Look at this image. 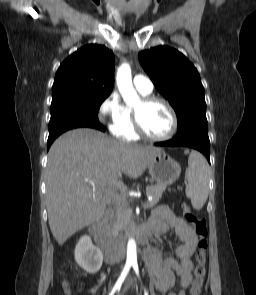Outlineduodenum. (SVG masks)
I'll use <instances>...</instances> for the list:
<instances>
[{"mask_svg":"<svg viewBox=\"0 0 256 295\" xmlns=\"http://www.w3.org/2000/svg\"><path fill=\"white\" fill-rule=\"evenodd\" d=\"M105 224L106 217L103 216L90 227L89 234L91 235L95 243L101 248L104 254L105 261L107 263H114L122 259L125 255V252L123 248L116 247L105 237ZM149 233L150 230L148 226H137L134 229V237L137 238L139 242H146Z\"/></svg>","mask_w":256,"mask_h":295,"instance_id":"410a0bca","label":"duodenum"}]
</instances>
